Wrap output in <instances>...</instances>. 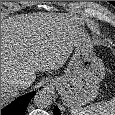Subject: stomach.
I'll return each mask as SVG.
<instances>
[{"label":"stomach","instance_id":"stomach-1","mask_svg":"<svg viewBox=\"0 0 115 115\" xmlns=\"http://www.w3.org/2000/svg\"><path fill=\"white\" fill-rule=\"evenodd\" d=\"M104 77V63L95 55L93 42L83 29L64 75L52 79L51 84L66 106L80 108L96 98Z\"/></svg>","mask_w":115,"mask_h":115}]
</instances>
